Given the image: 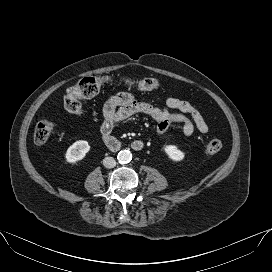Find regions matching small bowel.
Returning a JSON list of instances; mask_svg holds the SVG:
<instances>
[{"instance_id": "obj_1", "label": "small bowel", "mask_w": 272, "mask_h": 272, "mask_svg": "<svg viewBox=\"0 0 272 272\" xmlns=\"http://www.w3.org/2000/svg\"><path fill=\"white\" fill-rule=\"evenodd\" d=\"M165 107L159 108L138 100L127 92L111 97L103 107L101 134H111L116 124L136 114L150 116L157 124V134L163 135L172 123H181L185 136H191L195 130L202 134L208 132V125L200 111L191 103L174 97L165 99ZM175 111V112H172Z\"/></svg>"}]
</instances>
